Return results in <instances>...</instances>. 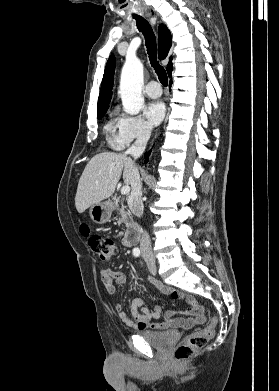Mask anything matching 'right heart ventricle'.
Listing matches in <instances>:
<instances>
[{"label":"right heart ventricle","instance_id":"1","mask_svg":"<svg viewBox=\"0 0 279 391\" xmlns=\"http://www.w3.org/2000/svg\"><path fill=\"white\" fill-rule=\"evenodd\" d=\"M113 126H114V123L112 120L108 121L106 126H105V132L107 135H110V133L112 132L113 130Z\"/></svg>","mask_w":279,"mask_h":391}]
</instances>
